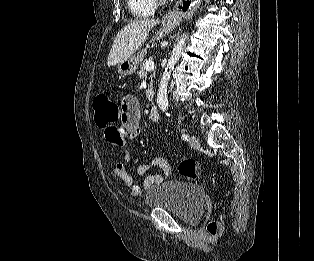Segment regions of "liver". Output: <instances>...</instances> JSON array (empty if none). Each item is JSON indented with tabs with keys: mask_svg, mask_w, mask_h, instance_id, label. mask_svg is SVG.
I'll use <instances>...</instances> for the list:
<instances>
[{
	"mask_svg": "<svg viewBox=\"0 0 314 261\" xmlns=\"http://www.w3.org/2000/svg\"><path fill=\"white\" fill-rule=\"evenodd\" d=\"M158 23L154 19L131 22L121 29L110 50L107 65L114 66L131 57L146 41L150 29Z\"/></svg>",
	"mask_w": 314,
	"mask_h": 261,
	"instance_id": "obj_1",
	"label": "liver"
}]
</instances>
